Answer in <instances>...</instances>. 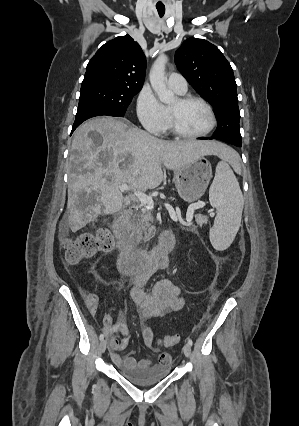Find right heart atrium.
Listing matches in <instances>:
<instances>
[{"label":"right heart atrium","instance_id":"1","mask_svg":"<svg viewBox=\"0 0 299 426\" xmlns=\"http://www.w3.org/2000/svg\"><path fill=\"white\" fill-rule=\"evenodd\" d=\"M136 113L142 126L150 133L159 135L165 131L167 126L165 108L147 85L138 93Z\"/></svg>","mask_w":299,"mask_h":426}]
</instances>
